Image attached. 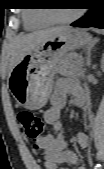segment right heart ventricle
Masks as SVG:
<instances>
[{"label": "right heart ventricle", "instance_id": "obj_1", "mask_svg": "<svg viewBox=\"0 0 104 169\" xmlns=\"http://www.w3.org/2000/svg\"><path fill=\"white\" fill-rule=\"evenodd\" d=\"M23 21L25 27L28 29H38L50 25V21L47 20L39 12H25L23 14Z\"/></svg>", "mask_w": 104, "mask_h": 169}]
</instances>
